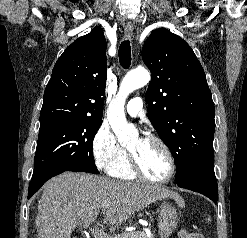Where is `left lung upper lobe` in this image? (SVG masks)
Listing matches in <instances>:
<instances>
[{"instance_id":"left-lung-upper-lobe-1","label":"left lung upper lobe","mask_w":247,"mask_h":238,"mask_svg":"<svg viewBox=\"0 0 247 238\" xmlns=\"http://www.w3.org/2000/svg\"><path fill=\"white\" fill-rule=\"evenodd\" d=\"M142 59L152 72L148 118L174 157L176 182L198 167H213L214 103L192 48L159 28L145 41Z\"/></svg>"}]
</instances>
